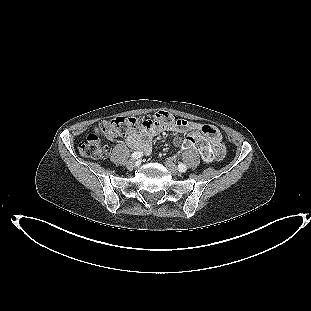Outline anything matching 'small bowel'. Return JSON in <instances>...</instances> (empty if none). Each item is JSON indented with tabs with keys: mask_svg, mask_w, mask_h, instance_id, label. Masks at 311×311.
I'll list each match as a JSON object with an SVG mask.
<instances>
[{
	"mask_svg": "<svg viewBox=\"0 0 311 311\" xmlns=\"http://www.w3.org/2000/svg\"><path fill=\"white\" fill-rule=\"evenodd\" d=\"M200 129L202 130L211 141L213 147L214 159H220L224 151V145L222 142V137L219 130L211 124H198L195 122H188L187 127H179L173 124L165 125H153L149 127H142L138 131L132 132L125 136V141L127 144L137 150L142 152V154H150L151 152V142L154 137L165 132L182 133L187 130ZM173 143L176 146L190 147L186 141H183L179 136L173 138Z\"/></svg>",
	"mask_w": 311,
	"mask_h": 311,
	"instance_id": "1",
	"label": "small bowel"
}]
</instances>
